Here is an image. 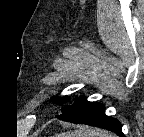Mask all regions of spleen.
Here are the masks:
<instances>
[{
    "mask_svg": "<svg viewBox=\"0 0 144 137\" xmlns=\"http://www.w3.org/2000/svg\"><path fill=\"white\" fill-rule=\"evenodd\" d=\"M58 137H112V135L107 131L83 126L78 130L62 133Z\"/></svg>",
    "mask_w": 144,
    "mask_h": 137,
    "instance_id": "spleen-1",
    "label": "spleen"
}]
</instances>
